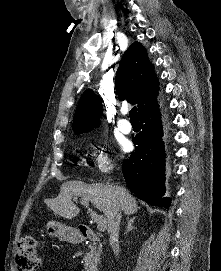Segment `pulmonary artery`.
I'll list each match as a JSON object with an SVG mask.
<instances>
[{
    "instance_id": "pulmonary-artery-1",
    "label": "pulmonary artery",
    "mask_w": 221,
    "mask_h": 271,
    "mask_svg": "<svg viewBox=\"0 0 221 271\" xmlns=\"http://www.w3.org/2000/svg\"><path fill=\"white\" fill-rule=\"evenodd\" d=\"M122 120H123V119H122ZM115 124L119 127V129L122 130V132H123L124 134H128V133L131 132V129H130V128H125V127H123V126H128V124H129L128 121H117Z\"/></svg>"
}]
</instances>
